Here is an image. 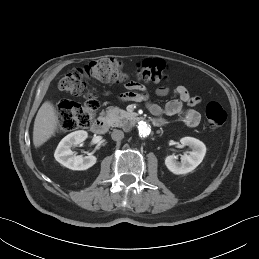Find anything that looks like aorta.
Returning a JSON list of instances; mask_svg holds the SVG:
<instances>
[{
  "instance_id": "obj_1",
  "label": "aorta",
  "mask_w": 259,
  "mask_h": 259,
  "mask_svg": "<svg viewBox=\"0 0 259 259\" xmlns=\"http://www.w3.org/2000/svg\"><path fill=\"white\" fill-rule=\"evenodd\" d=\"M136 132L141 138L148 137L151 133L150 125L145 121H139L136 124Z\"/></svg>"
}]
</instances>
